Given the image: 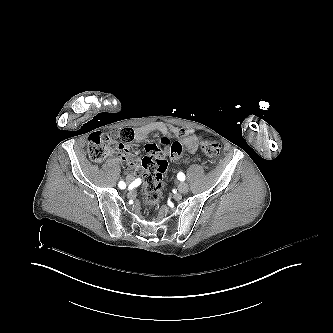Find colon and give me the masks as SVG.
Here are the masks:
<instances>
[{"label":"colon","instance_id":"colon-1","mask_svg":"<svg viewBox=\"0 0 333 333\" xmlns=\"http://www.w3.org/2000/svg\"><path fill=\"white\" fill-rule=\"evenodd\" d=\"M135 137L132 129L126 128L120 132V138L123 143H131ZM117 136L113 132L106 130L100 133L92 134L88 142V153L93 161L104 160L116 148ZM146 147V154L141 160L143 168V189L142 195L148 206L156 205L162 194L163 182L162 174L167 167L166 155L180 159L183 155V149L178 141L173 143L166 137L160 138L158 142H151ZM203 152L210 158H217L220 155L221 148L216 139L208 140L203 145Z\"/></svg>","mask_w":333,"mask_h":333}]
</instances>
